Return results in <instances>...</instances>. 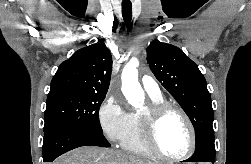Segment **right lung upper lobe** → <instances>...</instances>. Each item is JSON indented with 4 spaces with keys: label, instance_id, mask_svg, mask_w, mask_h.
Returning <instances> with one entry per match:
<instances>
[{
    "label": "right lung upper lobe",
    "instance_id": "right-lung-upper-lobe-1",
    "mask_svg": "<svg viewBox=\"0 0 251 164\" xmlns=\"http://www.w3.org/2000/svg\"><path fill=\"white\" fill-rule=\"evenodd\" d=\"M112 71V56L102 41L76 51L54 75L50 92L77 91L106 94Z\"/></svg>",
    "mask_w": 251,
    "mask_h": 164
}]
</instances>
